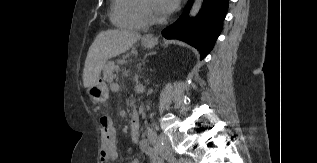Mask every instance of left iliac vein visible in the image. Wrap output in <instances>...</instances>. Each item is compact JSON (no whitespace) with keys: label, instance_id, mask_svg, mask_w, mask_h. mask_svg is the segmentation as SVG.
Masks as SVG:
<instances>
[{"label":"left iliac vein","instance_id":"1","mask_svg":"<svg viewBox=\"0 0 317 163\" xmlns=\"http://www.w3.org/2000/svg\"><path fill=\"white\" fill-rule=\"evenodd\" d=\"M178 163H181V162L179 161ZM184 163H193V161L190 159H186V160H184Z\"/></svg>","mask_w":317,"mask_h":163}]
</instances>
